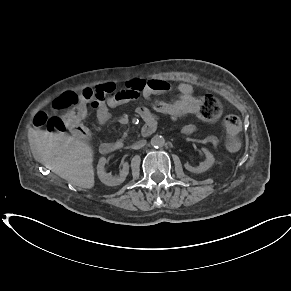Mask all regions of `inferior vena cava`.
I'll return each mask as SVG.
<instances>
[{"label": "inferior vena cava", "instance_id": "inferior-vena-cava-1", "mask_svg": "<svg viewBox=\"0 0 291 291\" xmlns=\"http://www.w3.org/2000/svg\"><path fill=\"white\" fill-rule=\"evenodd\" d=\"M146 145V140H140V141H137L136 143H134L132 145V148L133 149H140L142 147H144Z\"/></svg>", "mask_w": 291, "mask_h": 291}]
</instances>
